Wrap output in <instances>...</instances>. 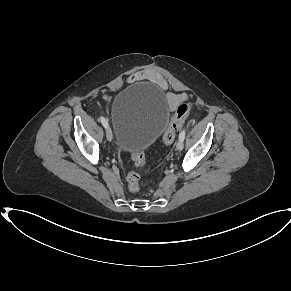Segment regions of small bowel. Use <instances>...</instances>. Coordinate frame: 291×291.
Masks as SVG:
<instances>
[{
  "label": "small bowel",
  "instance_id": "c3829d8e",
  "mask_svg": "<svg viewBox=\"0 0 291 291\" xmlns=\"http://www.w3.org/2000/svg\"><path fill=\"white\" fill-rule=\"evenodd\" d=\"M127 83H134L138 81H149L159 88L166 90L168 88V83L166 79L156 70L144 69L138 70L132 73L127 78ZM187 99L185 93H173L169 92L167 94V102L170 110H175L176 107Z\"/></svg>",
  "mask_w": 291,
  "mask_h": 291
}]
</instances>
